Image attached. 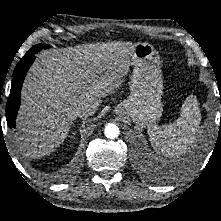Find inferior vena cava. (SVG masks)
I'll return each mask as SVG.
<instances>
[{"instance_id": "inferior-vena-cava-1", "label": "inferior vena cava", "mask_w": 221, "mask_h": 221, "mask_svg": "<svg viewBox=\"0 0 221 221\" xmlns=\"http://www.w3.org/2000/svg\"><path fill=\"white\" fill-rule=\"evenodd\" d=\"M97 108L90 103H83L77 106L76 115L80 118H86L96 112Z\"/></svg>"}]
</instances>
